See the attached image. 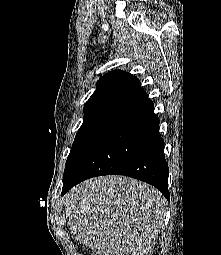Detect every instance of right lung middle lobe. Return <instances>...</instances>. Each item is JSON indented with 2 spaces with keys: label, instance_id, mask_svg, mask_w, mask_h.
I'll return each mask as SVG.
<instances>
[{
  "label": "right lung middle lobe",
  "instance_id": "1",
  "mask_svg": "<svg viewBox=\"0 0 221 255\" xmlns=\"http://www.w3.org/2000/svg\"><path fill=\"white\" fill-rule=\"evenodd\" d=\"M117 108L107 107L84 112V120L75 137L65 164L64 177L71 171L77 160Z\"/></svg>",
  "mask_w": 221,
  "mask_h": 255
}]
</instances>
